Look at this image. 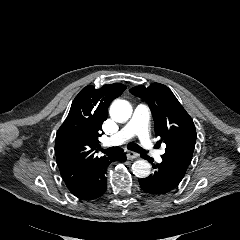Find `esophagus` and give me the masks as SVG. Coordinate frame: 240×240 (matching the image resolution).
Returning a JSON list of instances; mask_svg holds the SVG:
<instances>
[{"label":"esophagus","mask_w":240,"mask_h":240,"mask_svg":"<svg viewBox=\"0 0 240 240\" xmlns=\"http://www.w3.org/2000/svg\"><path fill=\"white\" fill-rule=\"evenodd\" d=\"M126 156L128 160H133L135 158H138L139 154L134 151H128Z\"/></svg>","instance_id":"34e87169"}]
</instances>
